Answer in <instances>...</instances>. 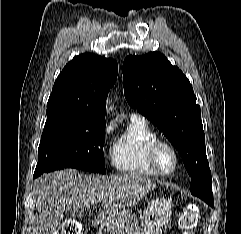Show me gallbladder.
Returning a JSON list of instances; mask_svg holds the SVG:
<instances>
[{"mask_svg": "<svg viewBox=\"0 0 241 234\" xmlns=\"http://www.w3.org/2000/svg\"><path fill=\"white\" fill-rule=\"evenodd\" d=\"M83 215V211H77L76 213L73 214L74 217H79L81 218Z\"/></svg>", "mask_w": 241, "mask_h": 234, "instance_id": "obj_1", "label": "gallbladder"}]
</instances>
